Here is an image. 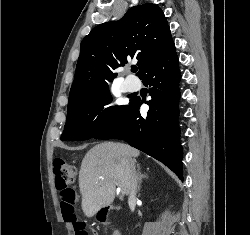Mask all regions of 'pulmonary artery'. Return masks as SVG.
Segmentation results:
<instances>
[{
	"label": "pulmonary artery",
	"mask_w": 250,
	"mask_h": 235,
	"mask_svg": "<svg viewBox=\"0 0 250 235\" xmlns=\"http://www.w3.org/2000/svg\"><path fill=\"white\" fill-rule=\"evenodd\" d=\"M125 87L128 91L133 92L139 89L140 82L139 81H131V79H126Z\"/></svg>",
	"instance_id": "e3ab8cb5"
}]
</instances>
